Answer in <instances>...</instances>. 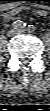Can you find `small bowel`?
<instances>
[{
  "label": "small bowel",
  "mask_w": 50,
  "mask_h": 111,
  "mask_svg": "<svg viewBox=\"0 0 50 111\" xmlns=\"http://www.w3.org/2000/svg\"><path fill=\"white\" fill-rule=\"evenodd\" d=\"M23 11H31L32 13H34L36 15H40V16H44L47 14V12L43 9H30V8H26V7H18V8H13V9H10V10L4 12L3 19L5 21H10L16 15H18L19 13H21Z\"/></svg>",
  "instance_id": "obj_1"
}]
</instances>
